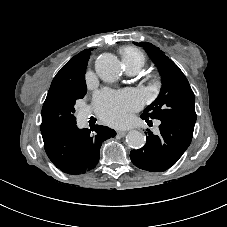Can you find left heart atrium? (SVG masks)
Returning a JSON list of instances; mask_svg holds the SVG:
<instances>
[{
  "label": "left heart atrium",
  "mask_w": 227,
  "mask_h": 227,
  "mask_svg": "<svg viewBox=\"0 0 227 227\" xmlns=\"http://www.w3.org/2000/svg\"><path fill=\"white\" fill-rule=\"evenodd\" d=\"M96 110L101 119L111 125L127 121L129 112L140 108L143 97L136 91L102 90L95 95Z\"/></svg>",
  "instance_id": "left-heart-atrium-1"
}]
</instances>
